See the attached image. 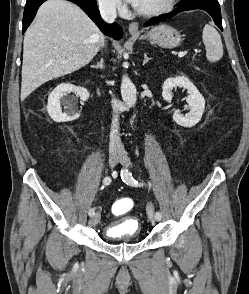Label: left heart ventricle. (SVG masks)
<instances>
[{
	"label": "left heart ventricle",
	"mask_w": 249,
	"mask_h": 294,
	"mask_svg": "<svg viewBox=\"0 0 249 294\" xmlns=\"http://www.w3.org/2000/svg\"><path fill=\"white\" fill-rule=\"evenodd\" d=\"M169 0H138L137 7L142 10H153L165 6Z\"/></svg>",
	"instance_id": "left-heart-ventricle-1"
}]
</instances>
